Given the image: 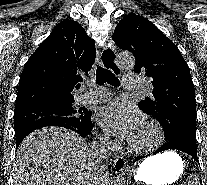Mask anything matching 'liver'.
Instances as JSON below:
<instances>
[{
  "instance_id": "6515ba94",
  "label": "liver",
  "mask_w": 207,
  "mask_h": 185,
  "mask_svg": "<svg viewBox=\"0 0 207 185\" xmlns=\"http://www.w3.org/2000/svg\"><path fill=\"white\" fill-rule=\"evenodd\" d=\"M95 159V151L75 131L43 127L19 145L14 185H93Z\"/></svg>"
}]
</instances>
